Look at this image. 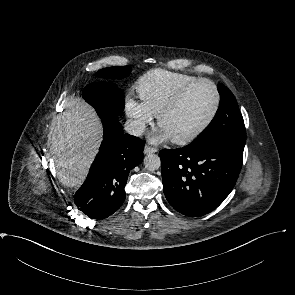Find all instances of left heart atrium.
Wrapping results in <instances>:
<instances>
[{"mask_svg": "<svg viewBox=\"0 0 295 295\" xmlns=\"http://www.w3.org/2000/svg\"><path fill=\"white\" fill-rule=\"evenodd\" d=\"M171 136L164 130L160 129L155 137L152 138V142L159 143L171 140Z\"/></svg>", "mask_w": 295, "mask_h": 295, "instance_id": "obj_1", "label": "left heart atrium"}]
</instances>
